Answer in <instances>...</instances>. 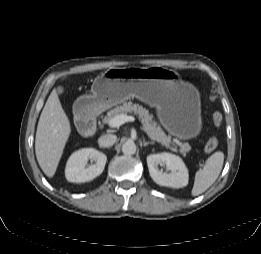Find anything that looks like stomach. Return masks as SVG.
<instances>
[{
  "instance_id": "1",
  "label": "stomach",
  "mask_w": 261,
  "mask_h": 254,
  "mask_svg": "<svg viewBox=\"0 0 261 254\" xmlns=\"http://www.w3.org/2000/svg\"><path fill=\"white\" fill-rule=\"evenodd\" d=\"M91 92L81 97L90 113L136 97L156 108L161 124L171 135L186 140L201 132L199 92L173 70L157 66L111 68L94 80Z\"/></svg>"
}]
</instances>
